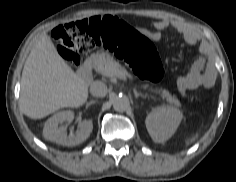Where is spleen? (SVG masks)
I'll use <instances>...</instances> for the list:
<instances>
[{
	"instance_id": "obj_1",
	"label": "spleen",
	"mask_w": 236,
	"mask_h": 182,
	"mask_svg": "<svg viewBox=\"0 0 236 182\" xmlns=\"http://www.w3.org/2000/svg\"><path fill=\"white\" fill-rule=\"evenodd\" d=\"M198 139V134H195L194 136H192L191 138H187L185 140V145L189 146L190 144L194 143L196 140Z\"/></svg>"
}]
</instances>
